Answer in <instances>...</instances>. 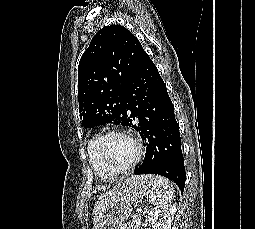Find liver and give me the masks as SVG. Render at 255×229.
<instances>
[{
    "instance_id": "1",
    "label": "liver",
    "mask_w": 255,
    "mask_h": 229,
    "mask_svg": "<svg viewBox=\"0 0 255 229\" xmlns=\"http://www.w3.org/2000/svg\"><path fill=\"white\" fill-rule=\"evenodd\" d=\"M120 184H117L115 187H113L112 189H110L109 191L103 193L97 200L95 207H94V211L93 213L96 214L99 210H101V208L110 200L112 199L118 189H119Z\"/></svg>"
}]
</instances>
